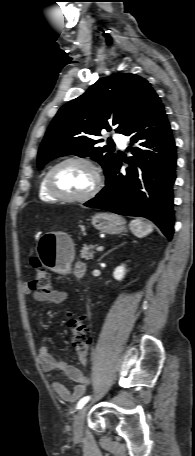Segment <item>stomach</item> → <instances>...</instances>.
<instances>
[{
  "mask_svg": "<svg viewBox=\"0 0 195 456\" xmlns=\"http://www.w3.org/2000/svg\"><path fill=\"white\" fill-rule=\"evenodd\" d=\"M92 225L102 233L119 234L125 230V220L112 213H96L91 217ZM38 255L43 265L59 273H67L74 259V244L64 232H54L41 237Z\"/></svg>",
  "mask_w": 195,
  "mask_h": 456,
  "instance_id": "1",
  "label": "stomach"
}]
</instances>
